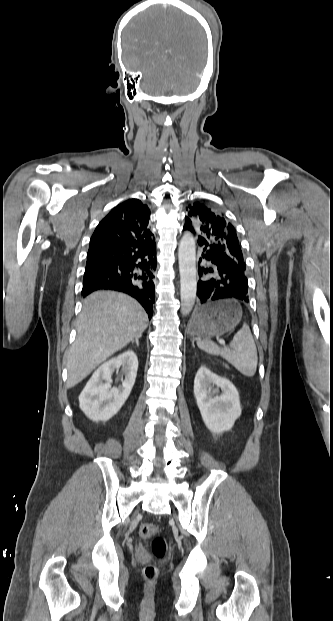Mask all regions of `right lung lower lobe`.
<instances>
[{
    "label": "right lung lower lobe",
    "instance_id": "98d812e1",
    "mask_svg": "<svg viewBox=\"0 0 333 621\" xmlns=\"http://www.w3.org/2000/svg\"><path fill=\"white\" fill-rule=\"evenodd\" d=\"M154 270L156 244L141 251L88 254L82 296L99 289L124 292L137 299L151 319L155 302Z\"/></svg>",
    "mask_w": 333,
    "mask_h": 621
}]
</instances>
